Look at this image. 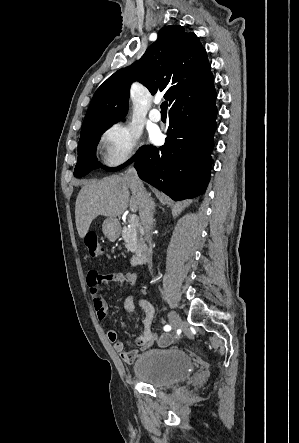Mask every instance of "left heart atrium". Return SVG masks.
I'll list each match as a JSON object with an SVG mask.
<instances>
[{
  "label": "left heart atrium",
  "mask_w": 299,
  "mask_h": 443,
  "mask_svg": "<svg viewBox=\"0 0 299 443\" xmlns=\"http://www.w3.org/2000/svg\"><path fill=\"white\" fill-rule=\"evenodd\" d=\"M158 139H159V133H158L157 131H153V132L150 134V140L153 141V142H155V141H157Z\"/></svg>",
  "instance_id": "1"
}]
</instances>
